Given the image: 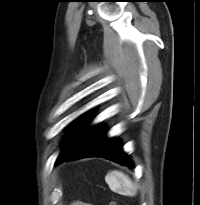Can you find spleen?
I'll list each match as a JSON object with an SVG mask.
<instances>
[{
	"label": "spleen",
	"instance_id": "obj_1",
	"mask_svg": "<svg viewBox=\"0 0 200 205\" xmlns=\"http://www.w3.org/2000/svg\"><path fill=\"white\" fill-rule=\"evenodd\" d=\"M105 181L113 192L126 196H134L136 194L134 184L123 172L117 170L110 171L105 176Z\"/></svg>",
	"mask_w": 200,
	"mask_h": 205
}]
</instances>
